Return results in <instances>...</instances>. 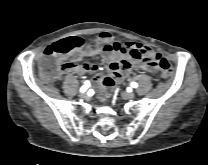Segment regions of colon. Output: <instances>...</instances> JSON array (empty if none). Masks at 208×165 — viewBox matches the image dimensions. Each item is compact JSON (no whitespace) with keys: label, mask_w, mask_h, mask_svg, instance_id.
Segmentation results:
<instances>
[{"label":"colon","mask_w":208,"mask_h":165,"mask_svg":"<svg viewBox=\"0 0 208 165\" xmlns=\"http://www.w3.org/2000/svg\"><path fill=\"white\" fill-rule=\"evenodd\" d=\"M86 48V42L77 37H68L53 43L47 47L45 56L40 63L42 77L51 82L55 81L59 74L57 68L59 58L64 56L76 57ZM144 60L154 62L159 67L162 79L168 80L172 77L173 69L165 57L159 54L148 55L144 53Z\"/></svg>","instance_id":"1"}]
</instances>
